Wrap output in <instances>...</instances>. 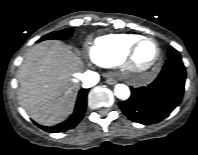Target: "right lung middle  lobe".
Wrapping results in <instances>:
<instances>
[{
	"instance_id": "right-lung-middle-lobe-1",
	"label": "right lung middle lobe",
	"mask_w": 198,
	"mask_h": 155,
	"mask_svg": "<svg viewBox=\"0 0 198 155\" xmlns=\"http://www.w3.org/2000/svg\"><path fill=\"white\" fill-rule=\"evenodd\" d=\"M72 34H73L72 29L67 28V29H64L60 32L49 33V34L43 36L37 42H40V41H43V40H48V39H67V38L71 37Z\"/></svg>"
}]
</instances>
